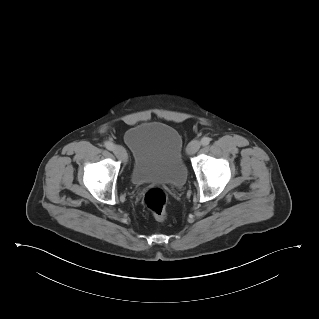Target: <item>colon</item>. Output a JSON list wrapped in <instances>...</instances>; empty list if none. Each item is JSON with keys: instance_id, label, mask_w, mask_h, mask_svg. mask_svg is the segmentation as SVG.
<instances>
[{"instance_id": "colon-1", "label": "colon", "mask_w": 319, "mask_h": 319, "mask_svg": "<svg viewBox=\"0 0 319 319\" xmlns=\"http://www.w3.org/2000/svg\"><path fill=\"white\" fill-rule=\"evenodd\" d=\"M144 203L157 220L166 219L167 195L164 190L158 187L149 189L145 194Z\"/></svg>"}]
</instances>
